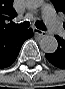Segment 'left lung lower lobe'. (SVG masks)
<instances>
[{"instance_id":"0a47b994","label":"left lung lower lobe","mask_w":65,"mask_h":89,"mask_svg":"<svg viewBox=\"0 0 65 89\" xmlns=\"http://www.w3.org/2000/svg\"><path fill=\"white\" fill-rule=\"evenodd\" d=\"M58 41V48L54 53L45 54L46 59L54 66L65 69V37L55 36Z\"/></svg>"}]
</instances>
